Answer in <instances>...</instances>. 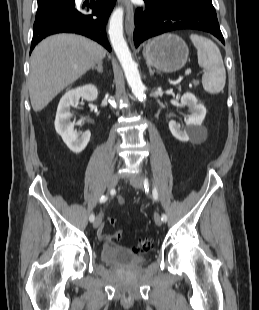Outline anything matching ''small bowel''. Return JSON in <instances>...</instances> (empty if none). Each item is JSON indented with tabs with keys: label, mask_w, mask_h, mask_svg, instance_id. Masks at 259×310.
Returning a JSON list of instances; mask_svg holds the SVG:
<instances>
[{
	"label": "small bowel",
	"mask_w": 259,
	"mask_h": 310,
	"mask_svg": "<svg viewBox=\"0 0 259 310\" xmlns=\"http://www.w3.org/2000/svg\"><path fill=\"white\" fill-rule=\"evenodd\" d=\"M117 202L119 204H123V199L118 198ZM98 238L103 241L105 244H112L113 238L112 236L108 235L104 231V225L100 223L98 231H97Z\"/></svg>",
	"instance_id": "small-bowel-1"
}]
</instances>
